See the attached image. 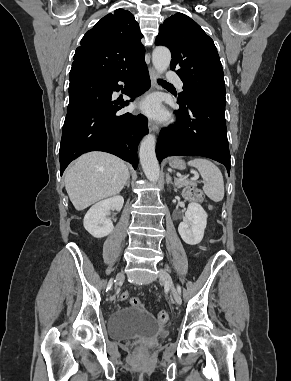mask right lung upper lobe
Wrapping results in <instances>:
<instances>
[{"label": "right lung upper lobe", "mask_w": 291, "mask_h": 381, "mask_svg": "<svg viewBox=\"0 0 291 381\" xmlns=\"http://www.w3.org/2000/svg\"><path fill=\"white\" fill-rule=\"evenodd\" d=\"M143 37L134 16L117 9L86 32L76 49L70 74L119 76L144 62Z\"/></svg>", "instance_id": "obj_1"}]
</instances>
